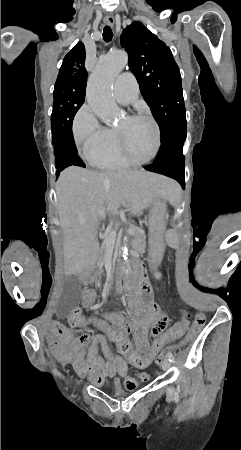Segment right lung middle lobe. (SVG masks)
<instances>
[{
  "label": "right lung middle lobe",
  "instance_id": "obj_1",
  "mask_svg": "<svg viewBox=\"0 0 241 450\" xmlns=\"http://www.w3.org/2000/svg\"><path fill=\"white\" fill-rule=\"evenodd\" d=\"M86 86L55 83L51 116L52 138L55 143V167L60 173L70 166L65 156L71 144L72 120L85 100Z\"/></svg>",
  "mask_w": 241,
  "mask_h": 450
}]
</instances>
